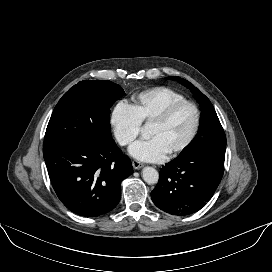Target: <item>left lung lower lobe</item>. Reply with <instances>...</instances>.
Returning a JSON list of instances; mask_svg holds the SVG:
<instances>
[{
    "mask_svg": "<svg viewBox=\"0 0 272 272\" xmlns=\"http://www.w3.org/2000/svg\"><path fill=\"white\" fill-rule=\"evenodd\" d=\"M223 172L224 160L201 154L179 155L160 169L152 201L171 215L193 214L211 199Z\"/></svg>",
    "mask_w": 272,
    "mask_h": 272,
    "instance_id": "1",
    "label": "left lung lower lobe"
}]
</instances>
